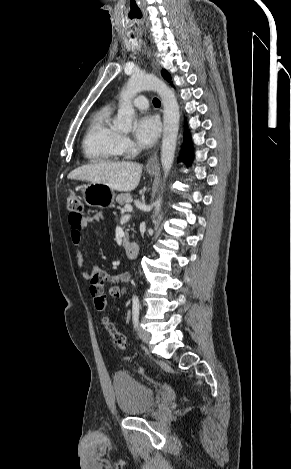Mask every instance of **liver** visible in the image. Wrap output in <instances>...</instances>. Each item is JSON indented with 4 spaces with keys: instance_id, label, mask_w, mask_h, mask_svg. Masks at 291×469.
<instances>
[{
    "instance_id": "obj_1",
    "label": "liver",
    "mask_w": 291,
    "mask_h": 469,
    "mask_svg": "<svg viewBox=\"0 0 291 469\" xmlns=\"http://www.w3.org/2000/svg\"><path fill=\"white\" fill-rule=\"evenodd\" d=\"M142 165L135 162H97L76 168L68 179L102 183L117 191H131L139 184Z\"/></svg>"
}]
</instances>
